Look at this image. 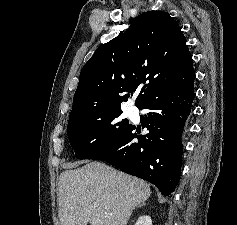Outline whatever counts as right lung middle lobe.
Instances as JSON below:
<instances>
[{
    "label": "right lung middle lobe",
    "mask_w": 237,
    "mask_h": 225,
    "mask_svg": "<svg viewBox=\"0 0 237 225\" xmlns=\"http://www.w3.org/2000/svg\"><path fill=\"white\" fill-rule=\"evenodd\" d=\"M121 110H110L81 122L68 124L67 133L76 158L87 159L108 148L130 126Z\"/></svg>",
    "instance_id": "obj_1"
}]
</instances>
